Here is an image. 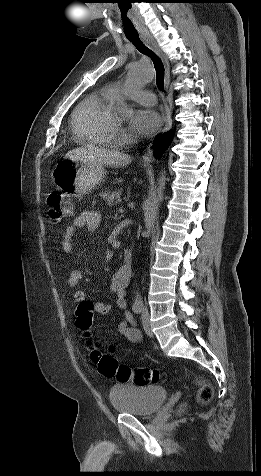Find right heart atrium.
Masks as SVG:
<instances>
[{"label":"right heart atrium","mask_w":261,"mask_h":476,"mask_svg":"<svg viewBox=\"0 0 261 476\" xmlns=\"http://www.w3.org/2000/svg\"><path fill=\"white\" fill-rule=\"evenodd\" d=\"M128 132L121 126H117L115 130V137L118 139H125L128 137Z\"/></svg>","instance_id":"d8ad5b80"}]
</instances>
